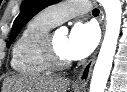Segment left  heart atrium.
Returning a JSON list of instances; mask_svg holds the SVG:
<instances>
[{"instance_id": "39dd6f15", "label": "left heart atrium", "mask_w": 127, "mask_h": 92, "mask_svg": "<svg viewBox=\"0 0 127 92\" xmlns=\"http://www.w3.org/2000/svg\"><path fill=\"white\" fill-rule=\"evenodd\" d=\"M99 39L96 26L92 23H77L72 28L66 46L69 58L79 60L90 55Z\"/></svg>"}]
</instances>
